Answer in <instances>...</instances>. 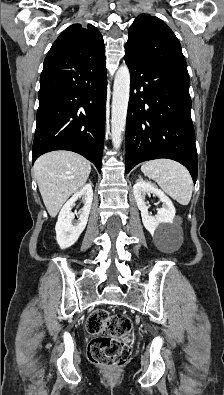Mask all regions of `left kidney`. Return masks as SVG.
Returning <instances> with one entry per match:
<instances>
[{"label":"left kidney","instance_id":"left-kidney-1","mask_svg":"<svg viewBox=\"0 0 224 395\" xmlns=\"http://www.w3.org/2000/svg\"><path fill=\"white\" fill-rule=\"evenodd\" d=\"M133 193L139 210L141 211L144 227L152 236L164 239L168 237V226L173 223L175 217V207L170 198L160 189L148 181L139 179L133 186ZM152 193L163 203L162 208L158 209L156 216H151L148 206L145 203L146 194Z\"/></svg>","mask_w":224,"mask_h":395}]
</instances>
